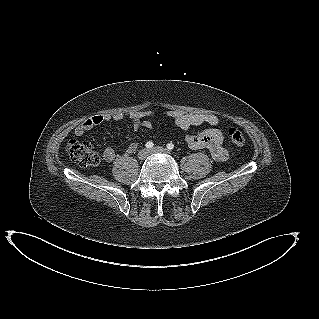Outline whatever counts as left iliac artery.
Here are the masks:
<instances>
[{"label": "left iliac artery", "instance_id": "left-iliac-artery-1", "mask_svg": "<svg viewBox=\"0 0 319 319\" xmlns=\"http://www.w3.org/2000/svg\"><path fill=\"white\" fill-rule=\"evenodd\" d=\"M167 149H168V150L174 149V144L168 143V144H167Z\"/></svg>", "mask_w": 319, "mask_h": 319}]
</instances>
